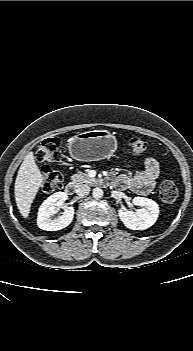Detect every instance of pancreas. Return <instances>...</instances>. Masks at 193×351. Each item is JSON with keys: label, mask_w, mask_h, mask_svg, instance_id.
Here are the masks:
<instances>
[{"label": "pancreas", "mask_w": 193, "mask_h": 351, "mask_svg": "<svg viewBox=\"0 0 193 351\" xmlns=\"http://www.w3.org/2000/svg\"><path fill=\"white\" fill-rule=\"evenodd\" d=\"M72 183L74 185H80L82 183H87V184H94L96 183V179L95 178H91L88 176V174L83 173V172H77L76 174H74L72 177Z\"/></svg>", "instance_id": "1"}]
</instances>
